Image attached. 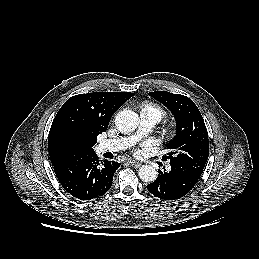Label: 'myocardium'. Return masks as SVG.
<instances>
[{
  "label": "myocardium",
  "mask_w": 259,
  "mask_h": 259,
  "mask_svg": "<svg viewBox=\"0 0 259 259\" xmlns=\"http://www.w3.org/2000/svg\"><path fill=\"white\" fill-rule=\"evenodd\" d=\"M174 135V132L172 130L167 131V136L172 137Z\"/></svg>",
  "instance_id": "f54148a6"
}]
</instances>
